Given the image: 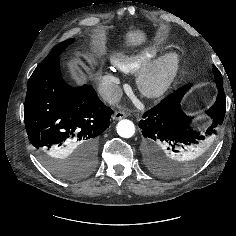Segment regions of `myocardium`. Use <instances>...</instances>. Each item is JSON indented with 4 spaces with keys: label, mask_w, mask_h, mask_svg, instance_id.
<instances>
[{
    "label": "myocardium",
    "mask_w": 236,
    "mask_h": 236,
    "mask_svg": "<svg viewBox=\"0 0 236 236\" xmlns=\"http://www.w3.org/2000/svg\"><path fill=\"white\" fill-rule=\"evenodd\" d=\"M180 70V59L168 53L147 64L137 77V86L147 98H159L166 94Z\"/></svg>",
    "instance_id": "obj_1"
}]
</instances>
